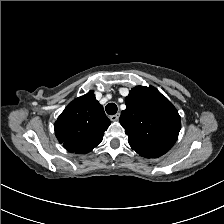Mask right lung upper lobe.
I'll return each instance as SVG.
<instances>
[{
    "mask_svg": "<svg viewBox=\"0 0 224 224\" xmlns=\"http://www.w3.org/2000/svg\"><path fill=\"white\" fill-rule=\"evenodd\" d=\"M109 125L103 106L91 90L68 104L54 130L60 143L72 146L75 153H88L102 141Z\"/></svg>",
    "mask_w": 224,
    "mask_h": 224,
    "instance_id": "1",
    "label": "right lung upper lobe"
}]
</instances>
